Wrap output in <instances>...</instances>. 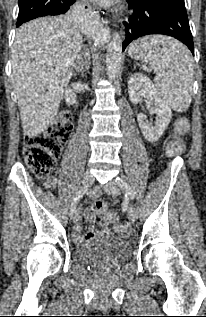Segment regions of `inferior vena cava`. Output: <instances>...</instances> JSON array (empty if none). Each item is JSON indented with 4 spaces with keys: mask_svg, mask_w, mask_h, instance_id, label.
<instances>
[{
    "mask_svg": "<svg viewBox=\"0 0 206 317\" xmlns=\"http://www.w3.org/2000/svg\"><path fill=\"white\" fill-rule=\"evenodd\" d=\"M77 58H78L79 72H81L83 75V72L87 69V63H88L86 55L82 53L80 56H77Z\"/></svg>",
    "mask_w": 206,
    "mask_h": 317,
    "instance_id": "1",
    "label": "inferior vena cava"
}]
</instances>
